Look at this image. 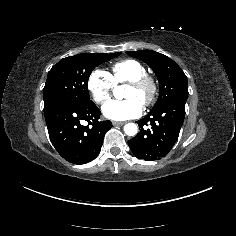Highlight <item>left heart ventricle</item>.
<instances>
[{
  "instance_id": "obj_1",
  "label": "left heart ventricle",
  "mask_w": 236,
  "mask_h": 236,
  "mask_svg": "<svg viewBox=\"0 0 236 236\" xmlns=\"http://www.w3.org/2000/svg\"><path fill=\"white\" fill-rule=\"evenodd\" d=\"M124 97L127 99L137 100L143 104L146 97V89L127 86Z\"/></svg>"
}]
</instances>
